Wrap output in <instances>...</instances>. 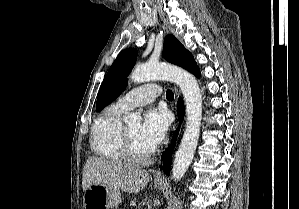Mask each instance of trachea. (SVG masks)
<instances>
[{
	"label": "trachea",
	"mask_w": 299,
	"mask_h": 209,
	"mask_svg": "<svg viewBox=\"0 0 299 209\" xmlns=\"http://www.w3.org/2000/svg\"><path fill=\"white\" fill-rule=\"evenodd\" d=\"M166 98L168 100H173L174 99V93L171 90L166 91Z\"/></svg>",
	"instance_id": "1"
}]
</instances>
